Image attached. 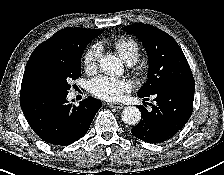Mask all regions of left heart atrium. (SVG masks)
<instances>
[{"mask_svg":"<svg viewBox=\"0 0 224 175\" xmlns=\"http://www.w3.org/2000/svg\"><path fill=\"white\" fill-rule=\"evenodd\" d=\"M89 90L101 99L115 101L130 90V84L125 80L101 76L91 81Z\"/></svg>","mask_w":224,"mask_h":175,"instance_id":"1","label":"left heart atrium"}]
</instances>
